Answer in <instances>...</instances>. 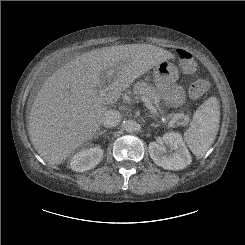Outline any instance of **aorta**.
<instances>
[{"instance_id": "obj_1", "label": "aorta", "mask_w": 245, "mask_h": 245, "mask_svg": "<svg viewBox=\"0 0 245 245\" xmlns=\"http://www.w3.org/2000/svg\"><path fill=\"white\" fill-rule=\"evenodd\" d=\"M138 123L134 120H128L124 123V129L127 132L133 133L138 130Z\"/></svg>"}]
</instances>
